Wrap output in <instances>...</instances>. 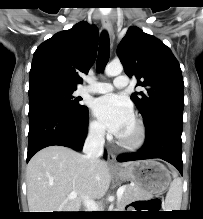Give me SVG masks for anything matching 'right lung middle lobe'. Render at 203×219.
I'll use <instances>...</instances> for the list:
<instances>
[{
    "label": "right lung middle lobe",
    "instance_id": "obj_1",
    "mask_svg": "<svg viewBox=\"0 0 203 219\" xmlns=\"http://www.w3.org/2000/svg\"><path fill=\"white\" fill-rule=\"evenodd\" d=\"M76 88L56 81L41 80L29 83V105H54L71 114H81L88 108L80 105L81 97L72 96Z\"/></svg>",
    "mask_w": 203,
    "mask_h": 219
}]
</instances>
